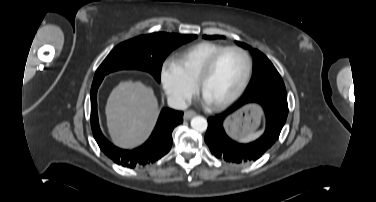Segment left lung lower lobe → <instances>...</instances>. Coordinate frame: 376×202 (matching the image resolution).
<instances>
[{
    "instance_id": "0a47b994",
    "label": "left lung lower lobe",
    "mask_w": 376,
    "mask_h": 202,
    "mask_svg": "<svg viewBox=\"0 0 376 202\" xmlns=\"http://www.w3.org/2000/svg\"><path fill=\"white\" fill-rule=\"evenodd\" d=\"M248 103L260 104L266 115V129L256 141L241 144L229 138L223 128L224 120ZM288 115L287 98L273 94H258L241 98L223 113L208 118L205 142L211 153L226 162L245 163L260 158L278 140Z\"/></svg>"
}]
</instances>
